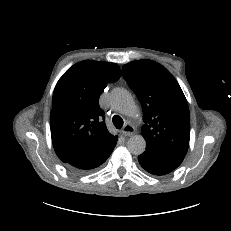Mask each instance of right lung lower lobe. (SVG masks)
<instances>
[{"instance_id": "1", "label": "right lung lower lobe", "mask_w": 231, "mask_h": 231, "mask_svg": "<svg viewBox=\"0 0 231 231\" xmlns=\"http://www.w3.org/2000/svg\"><path fill=\"white\" fill-rule=\"evenodd\" d=\"M116 143L117 141L97 154L70 158L64 160L63 162L66 163L67 167L73 171L86 172L103 164L112 153Z\"/></svg>"}]
</instances>
